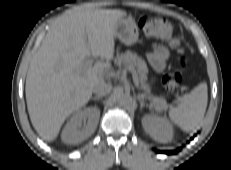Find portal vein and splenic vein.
Wrapping results in <instances>:
<instances>
[{"label":"portal vein and splenic vein","mask_w":231,"mask_h":170,"mask_svg":"<svg viewBox=\"0 0 231 170\" xmlns=\"http://www.w3.org/2000/svg\"><path fill=\"white\" fill-rule=\"evenodd\" d=\"M85 64L87 66H91L93 64V59H87ZM128 70L132 73V76H133L135 83L138 84L137 74H136V71L134 70V68L129 67Z\"/></svg>","instance_id":"obj_1"}]
</instances>
